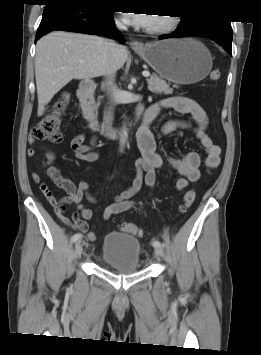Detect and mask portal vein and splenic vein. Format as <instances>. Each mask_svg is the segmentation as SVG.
Listing matches in <instances>:
<instances>
[{
    "instance_id": "obj_1",
    "label": "portal vein and splenic vein",
    "mask_w": 261,
    "mask_h": 355,
    "mask_svg": "<svg viewBox=\"0 0 261 355\" xmlns=\"http://www.w3.org/2000/svg\"><path fill=\"white\" fill-rule=\"evenodd\" d=\"M79 62H80V63H83V60H79ZM142 75L147 78V77L150 76V73H149L148 71H144V72L142 73Z\"/></svg>"
}]
</instances>
